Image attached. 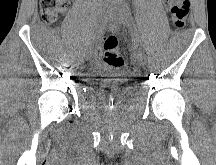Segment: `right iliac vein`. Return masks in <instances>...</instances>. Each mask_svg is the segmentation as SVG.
Wrapping results in <instances>:
<instances>
[{"instance_id":"1","label":"right iliac vein","mask_w":216,"mask_h":165,"mask_svg":"<svg viewBox=\"0 0 216 165\" xmlns=\"http://www.w3.org/2000/svg\"><path fill=\"white\" fill-rule=\"evenodd\" d=\"M107 13H106V9H104V11H102L101 13H100V15H99V18H98V24H97V30H98V28L103 24V22H105L106 21V19H107ZM97 32V31H96ZM96 35V34H95ZM90 55H91V48L87 51V54H86V56L87 57H85L84 58V61L88 64L90 61H89V58L88 57H90Z\"/></svg>"}]
</instances>
